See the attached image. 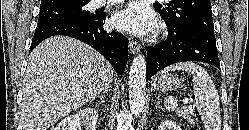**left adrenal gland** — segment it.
I'll use <instances>...</instances> for the list:
<instances>
[{
  "label": "left adrenal gland",
  "mask_w": 249,
  "mask_h": 130,
  "mask_svg": "<svg viewBox=\"0 0 249 130\" xmlns=\"http://www.w3.org/2000/svg\"><path fill=\"white\" fill-rule=\"evenodd\" d=\"M157 102H156V107H160V104H159V98H156Z\"/></svg>",
  "instance_id": "left-adrenal-gland-1"
}]
</instances>
